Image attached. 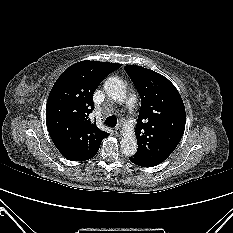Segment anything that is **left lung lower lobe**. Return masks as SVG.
<instances>
[{"instance_id": "obj_1", "label": "left lung lower lobe", "mask_w": 233, "mask_h": 233, "mask_svg": "<svg viewBox=\"0 0 233 233\" xmlns=\"http://www.w3.org/2000/svg\"><path fill=\"white\" fill-rule=\"evenodd\" d=\"M130 161L138 166H142V167H150L148 165H146L145 163L141 162L140 160L135 159L134 157H129Z\"/></svg>"}]
</instances>
